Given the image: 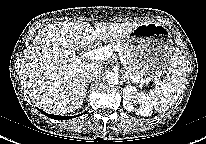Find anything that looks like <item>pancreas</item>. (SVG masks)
<instances>
[{"instance_id": "1", "label": "pancreas", "mask_w": 206, "mask_h": 144, "mask_svg": "<svg viewBox=\"0 0 206 144\" xmlns=\"http://www.w3.org/2000/svg\"><path fill=\"white\" fill-rule=\"evenodd\" d=\"M112 49L117 51L120 50L124 59L126 60L125 69L127 73L131 76L139 77V80L142 79L141 71L137 65V60L130 54L126 44L123 41H116L112 43Z\"/></svg>"}]
</instances>
